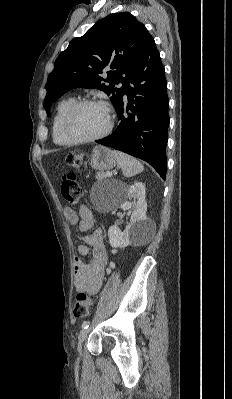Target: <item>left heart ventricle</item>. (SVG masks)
Masks as SVG:
<instances>
[{"instance_id":"obj_1","label":"left heart ventricle","mask_w":232,"mask_h":399,"mask_svg":"<svg viewBox=\"0 0 232 399\" xmlns=\"http://www.w3.org/2000/svg\"><path fill=\"white\" fill-rule=\"evenodd\" d=\"M109 114L102 105H86L79 108L71 119V129L81 138L94 137L108 127Z\"/></svg>"}]
</instances>
